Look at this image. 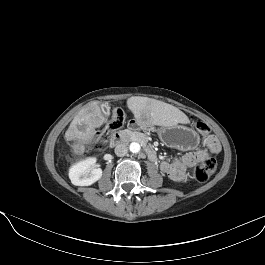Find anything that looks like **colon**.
Returning a JSON list of instances; mask_svg holds the SVG:
<instances>
[{"label": "colon", "instance_id": "colon-1", "mask_svg": "<svg viewBox=\"0 0 265 265\" xmlns=\"http://www.w3.org/2000/svg\"><path fill=\"white\" fill-rule=\"evenodd\" d=\"M125 123V113L120 108L112 110L107 118V125L105 129L98 132L94 144L102 147L106 144L108 137L112 131L121 129ZM196 129L204 135V139L209 137L208 126L203 122L196 123ZM218 160L216 156L206 157L200 164L194 168L193 177L200 183L206 182L210 176L216 171Z\"/></svg>", "mask_w": 265, "mask_h": 265}]
</instances>
